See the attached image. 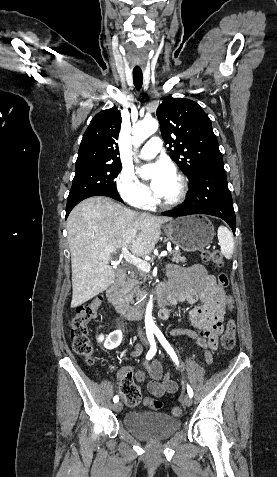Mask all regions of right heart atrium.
Masks as SVG:
<instances>
[{"label":"right heart atrium","mask_w":277,"mask_h":477,"mask_svg":"<svg viewBox=\"0 0 277 477\" xmlns=\"http://www.w3.org/2000/svg\"><path fill=\"white\" fill-rule=\"evenodd\" d=\"M117 189L121 198L133 207L147 208L152 203L149 190L138 181L131 169L121 170L117 177Z\"/></svg>","instance_id":"d8ad5b80"}]
</instances>
